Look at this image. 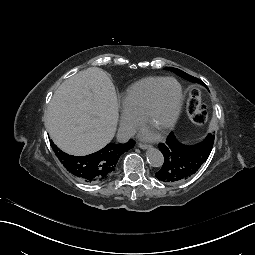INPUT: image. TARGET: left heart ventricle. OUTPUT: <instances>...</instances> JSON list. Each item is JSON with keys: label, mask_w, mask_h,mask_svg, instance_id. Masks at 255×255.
Masks as SVG:
<instances>
[{"label": "left heart ventricle", "mask_w": 255, "mask_h": 255, "mask_svg": "<svg viewBox=\"0 0 255 255\" xmlns=\"http://www.w3.org/2000/svg\"><path fill=\"white\" fill-rule=\"evenodd\" d=\"M178 88L174 83H166L159 92L155 109L145 121L144 127L148 132L160 135L170 120L177 103Z\"/></svg>", "instance_id": "1"}]
</instances>
